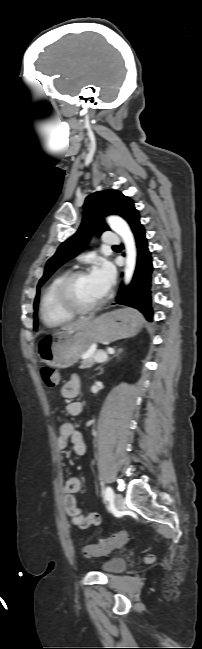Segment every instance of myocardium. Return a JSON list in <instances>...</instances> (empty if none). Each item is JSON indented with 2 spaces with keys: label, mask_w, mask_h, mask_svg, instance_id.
I'll return each instance as SVG.
<instances>
[{
  "label": "myocardium",
  "mask_w": 202,
  "mask_h": 649,
  "mask_svg": "<svg viewBox=\"0 0 202 649\" xmlns=\"http://www.w3.org/2000/svg\"><path fill=\"white\" fill-rule=\"evenodd\" d=\"M86 274L87 270L85 269L71 272L63 279L58 287L57 295L61 305L73 314H88L93 312L101 307L107 299V296L104 295L99 301L91 305L83 306L77 303L74 298V287L77 280Z\"/></svg>",
  "instance_id": "f54148a6"
}]
</instances>
